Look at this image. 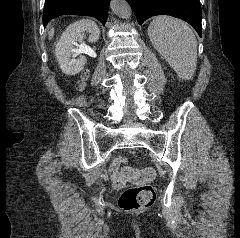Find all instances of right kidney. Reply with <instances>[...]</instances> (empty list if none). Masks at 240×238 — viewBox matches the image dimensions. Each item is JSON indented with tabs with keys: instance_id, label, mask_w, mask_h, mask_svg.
Returning <instances> with one entry per match:
<instances>
[{
	"instance_id": "1",
	"label": "right kidney",
	"mask_w": 240,
	"mask_h": 238,
	"mask_svg": "<svg viewBox=\"0 0 240 238\" xmlns=\"http://www.w3.org/2000/svg\"><path fill=\"white\" fill-rule=\"evenodd\" d=\"M85 33H89L88 41L95 43L100 36V30L94 21L82 19L70 24L62 33L56 44L55 55L62 72L66 75L78 74L86 64V57L76 55L90 51L88 47H82L79 51L74 49L77 42L82 41Z\"/></svg>"
}]
</instances>
